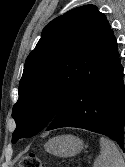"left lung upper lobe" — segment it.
I'll list each match as a JSON object with an SVG mask.
<instances>
[{
  "label": "left lung upper lobe",
  "instance_id": "5c2ea615",
  "mask_svg": "<svg viewBox=\"0 0 125 167\" xmlns=\"http://www.w3.org/2000/svg\"><path fill=\"white\" fill-rule=\"evenodd\" d=\"M110 25L94 5L52 20L28 55L12 116L15 143L46 128L88 75Z\"/></svg>",
  "mask_w": 125,
  "mask_h": 167
}]
</instances>
